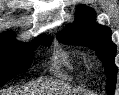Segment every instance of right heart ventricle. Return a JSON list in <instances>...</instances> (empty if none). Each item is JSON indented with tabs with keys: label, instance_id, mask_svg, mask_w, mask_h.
Instances as JSON below:
<instances>
[{
	"label": "right heart ventricle",
	"instance_id": "1",
	"mask_svg": "<svg viewBox=\"0 0 119 95\" xmlns=\"http://www.w3.org/2000/svg\"><path fill=\"white\" fill-rule=\"evenodd\" d=\"M75 58L65 50H59L53 58V71L57 74H66L73 70Z\"/></svg>",
	"mask_w": 119,
	"mask_h": 95
}]
</instances>
